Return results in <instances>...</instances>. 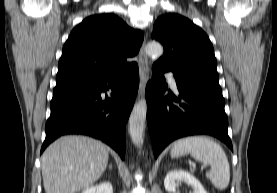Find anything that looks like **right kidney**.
Listing matches in <instances>:
<instances>
[{
	"instance_id": "ca27d5eb",
	"label": "right kidney",
	"mask_w": 277,
	"mask_h": 193,
	"mask_svg": "<svg viewBox=\"0 0 277 193\" xmlns=\"http://www.w3.org/2000/svg\"><path fill=\"white\" fill-rule=\"evenodd\" d=\"M82 193H113V188L109 182H104L99 185L87 188Z\"/></svg>"
}]
</instances>
